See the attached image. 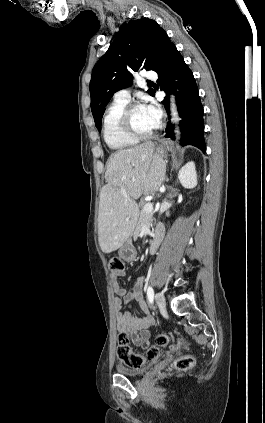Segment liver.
Segmentation results:
<instances>
[{
    "label": "liver",
    "mask_w": 265,
    "mask_h": 423,
    "mask_svg": "<svg viewBox=\"0 0 265 423\" xmlns=\"http://www.w3.org/2000/svg\"><path fill=\"white\" fill-rule=\"evenodd\" d=\"M165 173V161L152 141L109 157L98 215V239L104 253L119 249L129 238L139 214L136 200L158 191Z\"/></svg>",
    "instance_id": "liver-1"
}]
</instances>
